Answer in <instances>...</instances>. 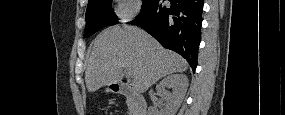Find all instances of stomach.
<instances>
[{"label": "stomach", "instance_id": "obj_1", "mask_svg": "<svg viewBox=\"0 0 285 115\" xmlns=\"http://www.w3.org/2000/svg\"><path fill=\"white\" fill-rule=\"evenodd\" d=\"M111 90L108 88L107 90H106V92H110Z\"/></svg>", "mask_w": 285, "mask_h": 115}]
</instances>
